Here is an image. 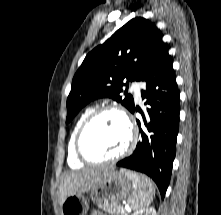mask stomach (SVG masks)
Returning <instances> with one entry per match:
<instances>
[{
	"mask_svg": "<svg viewBox=\"0 0 221 215\" xmlns=\"http://www.w3.org/2000/svg\"><path fill=\"white\" fill-rule=\"evenodd\" d=\"M134 175H137L142 182L143 175L123 169L112 170L97 187L90 191V200L99 205L125 199L134 191ZM88 203L89 199L83 193L70 195L61 204V215H86Z\"/></svg>",
	"mask_w": 221,
	"mask_h": 215,
	"instance_id": "obj_1",
	"label": "stomach"
}]
</instances>
